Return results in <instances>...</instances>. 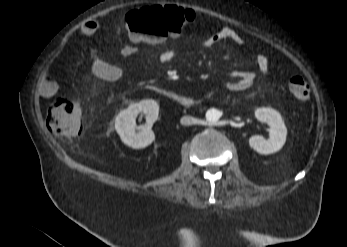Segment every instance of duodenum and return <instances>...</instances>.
<instances>
[{"label":"duodenum","instance_id":"duodenum-1","mask_svg":"<svg viewBox=\"0 0 347 247\" xmlns=\"http://www.w3.org/2000/svg\"><path fill=\"white\" fill-rule=\"evenodd\" d=\"M164 95L169 98L171 101L174 103L182 106V107H193L196 105V100L189 96V95H184L180 94L177 92H172V91H164Z\"/></svg>","mask_w":347,"mask_h":247}]
</instances>
